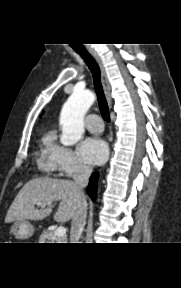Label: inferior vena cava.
I'll return each instance as SVG.
<instances>
[{"label": "inferior vena cava", "instance_id": "inferior-vena-cava-1", "mask_svg": "<svg viewBox=\"0 0 181 288\" xmlns=\"http://www.w3.org/2000/svg\"><path fill=\"white\" fill-rule=\"evenodd\" d=\"M92 168L80 163L76 173L73 176V183L79 196L78 210L71 222L70 243H78L86 224L87 201L84 194V188L87 187Z\"/></svg>", "mask_w": 181, "mask_h": 288}]
</instances>
